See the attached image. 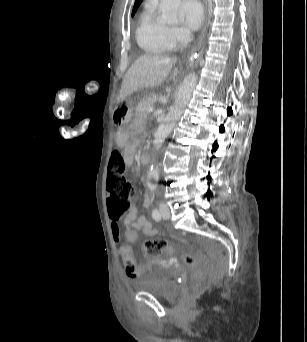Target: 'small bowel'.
<instances>
[{
    "instance_id": "obj_1",
    "label": "small bowel",
    "mask_w": 307,
    "mask_h": 342,
    "mask_svg": "<svg viewBox=\"0 0 307 342\" xmlns=\"http://www.w3.org/2000/svg\"><path fill=\"white\" fill-rule=\"evenodd\" d=\"M130 163V160L128 161ZM149 204V198L147 196L144 197L143 207H147ZM124 225H139V229H143V233H147V236H153L157 233V229L153 227V225L145 218V217H137V210L132 208L127 215ZM112 235L115 242H118L122 236L121 228L117 223L112 225Z\"/></svg>"
}]
</instances>
